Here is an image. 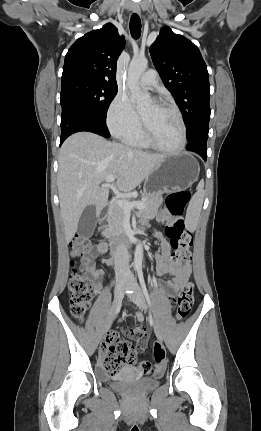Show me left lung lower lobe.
<instances>
[{
  "label": "left lung lower lobe",
  "instance_id": "1",
  "mask_svg": "<svg viewBox=\"0 0 261 431\" xmlns=\"http://www.w3.org/2000/svg\"><path fill=\"white\" fill-rule=\"evenodd\" d=\"M207 138L208 132H203L193 140L188 142L186 149L188 151L196 152L202 156V158L206 161L207 159Z\"/></svg>",
  "mask_w": 261,
  "mask_h": 431
}]
</instances>
